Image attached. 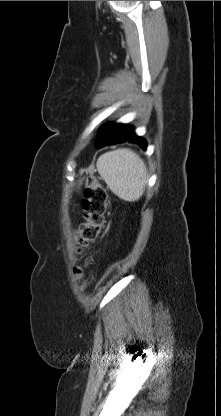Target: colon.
<instances>
[{
  "label": "colon",
  "instance_id": "colon-1",
  "mask_svg": "<svg viewBox=\"0 0 221 416\" xmlns=\"http://www.w3.org/2000/svg\"><path fill=\"white\" fill-rule=\"evenodd\" d=\"M85 188V197L82 202L84 220L76 230L78 240L76 253H80L82 248L98 239L105 224L108 208L107 192L96 177L88 176L85 179ZM73 273L77 277L82 276L79 267H74Z\"/></svg>",
  "mask_w": 221,
  "mask_h": 416
}]
</instances>
